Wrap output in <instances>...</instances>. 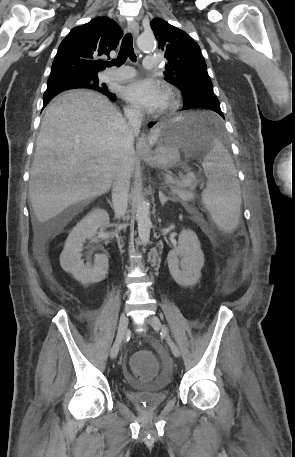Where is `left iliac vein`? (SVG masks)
Wrapping results in <instances>:
<instances>
[{"mask_svg": "<svg viewBox=\"0 0 295 457\" xmlns=\"http://www.w3.org/2000/svg\"><path fill=\"white\" fill-rule=\"evenodd\" d=\"M147 322H148L155 330H157V331L162 330V331L164 332L163 326H162V324H161V321H160V319H159L157 316H155V315L150 316V317L147 319ZM164 334H165V332H164ZM167 339H168V344H169V347H170V349H171L173 355H174L175 357H179V356H180V351H179L177 345H176L169 337H167Z\"/></svg>", "mask_w": 295, "mask_h": 457, "instance_id": "1", "label": "left iliac vein"}]
</instances>
